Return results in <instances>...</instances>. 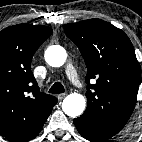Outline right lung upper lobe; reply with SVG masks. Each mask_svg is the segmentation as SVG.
Masks as SVG:
<instances>
[{"label": "right lung upper lobe", "instance_id": "cb5924a9", "mask_svg": "<svg viewBox=\"0 0 142 142\" xmlns=\"http://www.w3.org/2000/svg\"><path fill=\"white\" fill-rule=\"evenodd\" d=\"M51 34V28L32 24L0 31V132L14 142L36 137L57 103L39 91L30 70L34 53Z\"/></svg>", "mask_w": 142, "mask_h": 142}]
</instances>
